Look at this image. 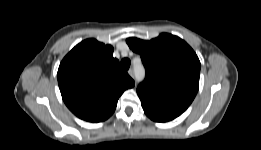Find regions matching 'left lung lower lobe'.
Here are the masks:
<instances>
[{
    "label": "left lung lower lobe",
    "instance_id": "left-lung-lower-lobe-1",
    "mask_svg": "<svg viewBox=\"0 0 261 150\" xmlns=\"http://www.w3.org/2000/svg\"><path fill=\"white\" fill-rule=\"evenodd\" d=\"M143 107V110L145 112V114L152 120L156 121V122H166V121H170L176 117L166 114L164 112L161 111H157L148 107Z\"/></svg>",
    "mask_w": 261,
    "mask_h": 150
}]
</instances>
